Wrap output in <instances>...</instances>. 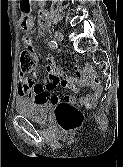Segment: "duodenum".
Here are the masks:
<instances>
[{
    "instance_id": "410a0bca",
    "label": "duodenum",
    "mask_w": 123,
    "mask_h": 167,
    "mask_svg": "<svg viewBox=\"0 0 123 167\" xmlns=\"http://www.w3.org/2000/svg\"><path fill=\"white\" fill-rule=\"evenodd\" d=\"M40 1H43V0H40ZM48 12L45 10V9H41L39 11V24L42 26V27H45L47 26L48 24Z\"/></svg>"
}]
</instances>
